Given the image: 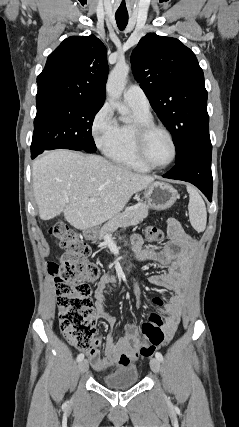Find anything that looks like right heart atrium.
Instances as JSON below:
<instances>
[{
    "label": "right heart atrium",
    "instance_id": "d8ad5b80",
    "mask_svg": "<svg viewBox=\"0 0 239 427\" xmlns=\"http://www.w3.org/2000/svg\"><path fill=\"white\" fill-rule=\"evenodd\" d=\"M116 129L117 122L112 109L108 104H104L95 114L91 124V133L96 146L105 151L111 144Z\"/></svg>",
    "mask_w": 239,
    "mask_h": 427
}]
</instances>
